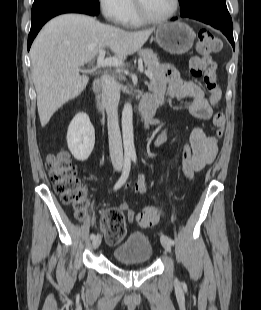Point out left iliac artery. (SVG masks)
Returning a JSON list of instances; mask_svg holds the SVG:
<instances>
[{"label": "left iliac artery", "instance_id": "1", "mask_svg": "<svg viewBox=\"0 0 261 310\" xmlns=\"http://www.w3.org/2000/svg\"><path fill=\"white\" fill-rule=\"evenodd\" d=\"M132 160H133L134 163H136V161H137L136 155H133V156H132ZM167 238H168L170 244L173 245V244H174V241H173L171 238H169V237H167Z\"/></svg>", "mask_w": 261, "mask_h": 310}]
</instances>
